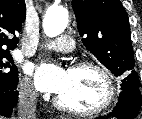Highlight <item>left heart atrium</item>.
<instances>
[{
	"label": "left heart atrium",
	"mask_w": 142,
	"mask_h": 119,
	"mask_svg": "<svg viewBox=\"0 0 142 119\" xmlns=\"http://www.w3.org/2000/svg\"><path fill=\"white\" fill-rule=\"evenodd\" d=\"M68 75V70L42 64L35 68V84L41 91L60 94L67 85Z\"/></svg>",
	"instance_id": "left-heart-atrium-1"
}]
</instances>
